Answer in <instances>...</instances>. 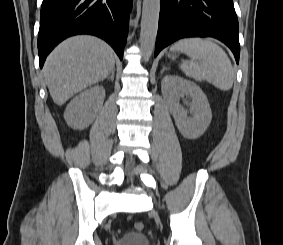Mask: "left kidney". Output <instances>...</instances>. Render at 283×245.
I'll use <instances>...</instances> for the list:
<instances>
[{
    "mask_svg": "<svg viewBox=\"0 0 283 245\" xmlns=\"http://www.w3.org/2000/svg\"><path fill=\"white\" fill-rule=\"evenodd\" d=\"M161 89L181 134L188 139L199 138L212 119L210 105L201 88L178 76L167 75L162 79ZM184 94L190 96L192 100L191 118H187V111L179 104L180 97Z\"/></svg>",
    "mask_w": 283,
    "mask_h": 245,
    "instance_id": "5707ae66",
    "label": "left kidney"
}]
</instances>
